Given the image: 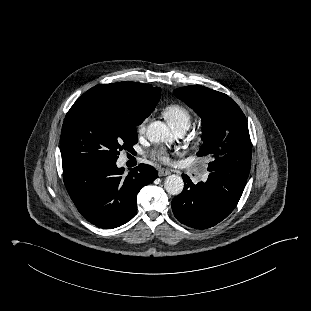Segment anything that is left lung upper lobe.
<instances>
[{"instance_id": "obj_1", "label": "left lung upper lobe", "mask_w": 311, "mask_h": 311, "mask_svg": "<svg viewBox=\"0 0 311 311\" xmlns=\"http://www.w3.org/2000/svg\"><path fill=\"white\" fill-rule=\"evenodd\" d=\"M173 93L202 119L203 144L197 155L211 160L208 171L248 178L252 155L250 135L246 117L234 100L200 85L178 88Z\"/></svg>"}]
</instances>
